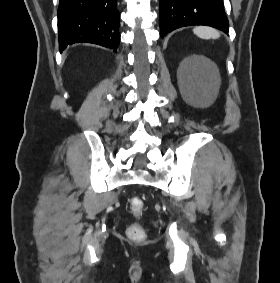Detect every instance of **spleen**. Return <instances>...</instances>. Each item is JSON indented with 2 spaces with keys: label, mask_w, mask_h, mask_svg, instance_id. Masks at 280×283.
Listing matches in <instances>:
<instances>
[{
  "label": "spleen",
  "mask_w": 280,
  "mask_h": 283,
  "mask_svg": "<svg viewBox=\"0 0 280 283\" xmlns=\"http://www.w3.org/2000/svg\"><path fill=\"white\" fill-rule=\"evenodd\" d=\"M193 32L202 39H218L220 37V33L216 29L206 26L195 27Z\"/></svg>",
  "instance_id": "1"
}]
</instances>
